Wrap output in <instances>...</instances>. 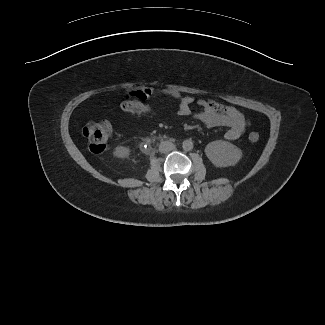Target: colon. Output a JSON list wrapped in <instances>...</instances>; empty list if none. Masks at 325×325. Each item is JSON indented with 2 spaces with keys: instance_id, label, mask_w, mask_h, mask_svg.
I'll return each mask as SVG.
<instances>
[{
  "instance_id": "obj_1",
  "label": "colon",
  "mask_w": 325,
  "mask_h": 325,
  "mask_svg": "<svg viewBox=\"0 0 325 325\" xmlns=\"http://www.w3.org/2000/svg\"><path fill=\"white\" fill-rule=\"evenodd\" d=\"M122 110L129 114H155L158 111L156 105L138 101H128L121 105ZM111 125L108 121H91L83 128V135L88 141L89 149L94 153L105 150L111 135ZM250 142H257L259 134L252 132L248 136Z\"/></svg>"
}]
</instances>
